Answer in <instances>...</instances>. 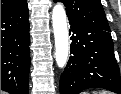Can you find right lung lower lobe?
Here are the masks:
<instances>
[{
	"mask_svg": "<svg viewBox=\"0 0 121 94\" xmlns=\"http://www.w3.org/2000/svg\"><path fill=\"white\" fill-rule=\"evenodd\" d=\"M28 6L1 14V90L28 94L30 70Z\"/></svg>",
	"mask_w": 121,
	"mask_h": 94,
	"instance_id": "right-lung-lower-lobe-1",
	"label": "right lung lower lobe"
}]
</instances>
